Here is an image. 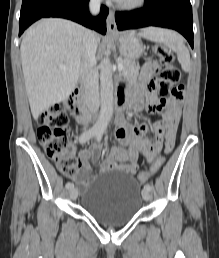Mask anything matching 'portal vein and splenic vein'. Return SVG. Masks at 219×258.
<instances>
[{"mask_svg":"<svg viewBox=\"0 0 219 258\" xmlns=\"http://www.w3.org/2000/svg\"><path fill=\"white\" fill-rule=\"evenodd\" d=\"M60 69L64 70V69H66V67L63 66V65H61V66H60ZM123 69H124V66H123L122 64H119V65H118V70H119V71H122Z\"/></svg>","mask_w":219,"mask_h":258,"instance_id":"obj_1","label":"portal vein and splenic vein"}]
</instances>
